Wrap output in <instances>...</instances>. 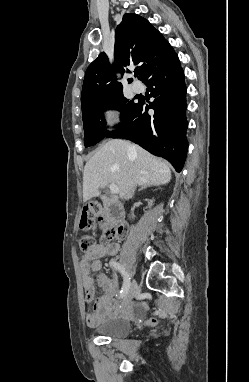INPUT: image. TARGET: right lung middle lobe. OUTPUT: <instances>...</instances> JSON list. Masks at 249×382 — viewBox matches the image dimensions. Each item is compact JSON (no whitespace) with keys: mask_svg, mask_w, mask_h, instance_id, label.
I'll return each instance as SVG.
<instances>
[{"mask_svg":"<svg viewBox=\"0 0 249 382\" xmlns=\"http://www.w3.org/2000/svg\"><path fill=\"white\" fill-rule=\"evenodd\" d=\"M137 106L138 101L129 100L123 94L108 99H98L88 104L82 109L85 147L95 145L113 133L105 130L106 122L102 116L104 109L119 110L122 114L120 124L122 126L131 118Z\"/></svg>","mask_w":249,"mask_h":382,"instance_id":"dd1d6c3e","label":"right lung middle lobe"}]
</instances>
